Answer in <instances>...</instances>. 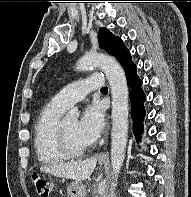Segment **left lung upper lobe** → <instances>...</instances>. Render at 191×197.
I'll return each mask as SVG.
<instances>
[{
	"label": "left lung upper lobe",
	"mask_w": 191,
	"mask_h": 197,
	"mask_svg": "<svg viewBox=\"0 0 191 197\" xmlns=\"http://www.w3.org/2000/svg\"><path fill=\"white\" fill-rule=\"evenodd\" d=\"M98 39L100 47L108 54L113 55L118 59L125 71L135 67L131 60V55L128 49L124 46L121 38L113 35L108 29L101 28L99 30Z\"/></svg>",
	"instance_id": "1"
}]
</instances>
